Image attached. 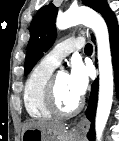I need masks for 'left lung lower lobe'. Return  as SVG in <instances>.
Listing matches in <instances>:
<instances>
[{"label":"left lung lower lobe","mask_w":119,"mask_h":141,"mask_svg":"<svg viewBox=\"0 0 119 141\" xmlns=\"http://www.w3.org/2000/svg\"><path fill=\"white\" fill-rule=\"evenodd\" d=\"M106 23L109 30V39H110V47H111V54H112V60H113L116 90L119 92V29H118L117 20L114 13H112L106 19ZM94 40L95 39L92 36V41L94 42ZM97 95H98V81L96 80L92 84L89 105L87 108V118L92 122L90 131L87 134L89 141L95 140V131H94L93 121L95 117Z\"/></svg>","instance_id":"0a47b994"}]
</instances>
